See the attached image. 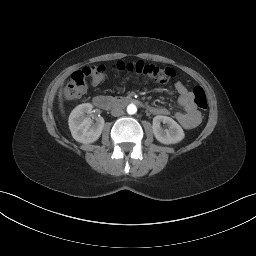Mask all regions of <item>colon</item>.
Masks as SVG:
<instances>
[{
	"instance_id": "obj_1",
	"label": "colon",
	"mask_w": 256,
	"mask_h": 256,
	"mask_svg": "<svg viewBox=\"0 0 256 256\" xmlns=\"http://www.w3.org/2000/svg\"><path fill=\"white\" fill-rule=\"evenodd\" d=\"M116 68L161 83H167L175 76L174 70L170 67L158 66L143 61L120 62L116 65ZM105 71L103 65H93L73 72L64 88V98L67 100H78L86 92L88 81L93 83L100 82L105 75ZM192 94L195 106L200 110H206L208 101L204 89L201 86H196L193 88Z\"/></svg>"
}]
</instances>
